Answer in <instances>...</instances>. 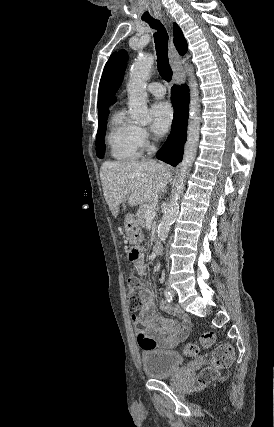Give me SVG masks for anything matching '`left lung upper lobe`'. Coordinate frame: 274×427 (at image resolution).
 Segmentation results:
<instances>
[{"label": "left lung upper lobe", "mask_w": 274, "mask_h": 427, "mask_svg": "<svg viewBox=\"0 0 274 427\" xmlns=\"http://www.w3.org/2000/svg\"><path fill=\"white\" fill-rule=\"evenodd\" d=\"M127 63V52L121 50L118 52L111 64L104 80L103 94L104 100L108 105L115 102V93L119 89Z\"/></svg>", "instance_id": "left-lung-upper-lobe-1"}]
</instances>
